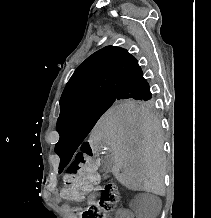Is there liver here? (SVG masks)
I'll return each mask as SVG.
<instances>
[{
  "instance_id": "1",
  "label": "liver",
  "mask_w": 211,
  "mask_h": 218,
  "mask_svg": "<svg viewBox=\"0 0 211 218\" xmlns=\"http://www.w3.org/2000/svg\"><path fill=\"white\" fill-rule=\"evenodd\" d=\"M112 152V172L129 190L164 196L165 162L161 126L150 110L112 106L88 140Z\"/></svg>"
}]
</instances>
